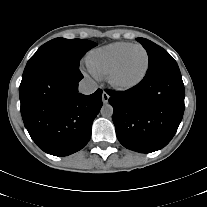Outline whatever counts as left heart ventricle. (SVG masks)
<instances>
[{
    "label": "left heart ventricle",
    "mask_w": 207,
    "mask_h": 207,
    "mask_svg": "<svg viewBox=\"0 0 207 207\" xmlns=\"http://www.w3.org/2000/svg\"><path fill=\"white\" fill-rule=\"evenodd\" d=\"M146 63V56L141 48H134L122 63L116 79L119 82H131L142 73Z\"/></svg>",
    "instance_id": "left-heart-ventricle-1"
}]
</instances>
